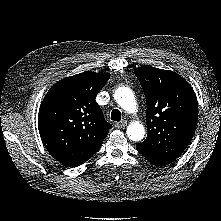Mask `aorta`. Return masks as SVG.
<instances>
[{
    "mask_svg": "<svg viewBox=\"0 0 221 221\" xmlns=\"http://www.w3.org/2000/svg\"><path fill=\"white\" fill-rule=\"evenodd\" d=\"M114 98L119 106L128 113H134L137 110L135 96L131 89L120 87L115 91ZM145 135L144 126L135 121L131 122L127 127V136L132 141H140Z\"/></svg>",
    "mask_w": 221,
    "mask_h": 221,
    "instance_id": "obj_1",
    "label": "aorta"
}]
</instances>
